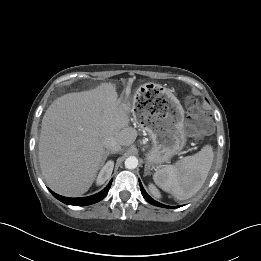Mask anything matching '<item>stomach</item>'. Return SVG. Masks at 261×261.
Here are the masks:
<instances>
[{
    "mask_svg": "<svg viewBox=\"0 0 261 261\" xmlns=\"http://www.w3.org/2000/svg\"><path fill=\"white\" fill-rule=\"evenodd\" d=\"M143 88L134 100L133 116L152 141L147 163L159 165L168 162L186 145L184 109L171 89L154 83Z\"/></svg>",
    "mask_w": 261,
    "mask_h": 261,
    "instance_id": "1",
    "label": "stomach"
}]
</instances>
